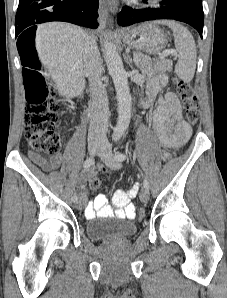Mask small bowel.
Listing matches in <instances>:
<instances>
[{
    "label": "small bowel",
    "mask_w": 227,
    "mask_h": 298,
    "mask_svg": "<svg viewBox=\"0 0 227 298\" xmlns=\"http://www.w3.org/2000/svg\"><path fill=\"white\" fill-rule=\"evenodd\" d=\"M165 83L166 76L164 74L151 79L148 85L147 96L142 104L145 107H149L157 101V106L151 118L152 128L160 146L165 151H169L181 148L189 139L192 130L183 118L182 107L177 96L173 92H167L162 96H158L161 87ZM29 156L35 164L46 171L57 168L62 163L60 154L54 155L50 160L34 151H30ZM91 176V171H84L77 181L81 199L85 203L87 199L85 184ZM137 190V184L128 191L117 190L113 196L114 207L108 204L106 194H98L87 204L85 217L88 219L95 216L133 218L135 216V206L131 199L135 197Z\"/></svg>",
    "instance_id": "obj_1"
}]
</instances>
